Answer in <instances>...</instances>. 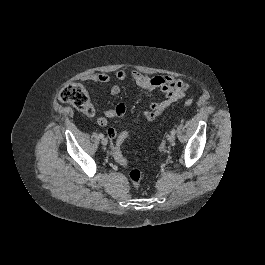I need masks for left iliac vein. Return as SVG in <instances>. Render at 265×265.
Masks as SVG:
<instances>
[{
	"label": "left iliac vein",
	"mask_w": 265,
	"mask_h": 265,
	"mask_svg": "<svg viewBox=\"0 0 265 265\" xmlns=\"http://www.w3.org/2000/svg\"><path fill=\"white\" fill-rule=\"evenodd\" d=\"M167 140L170 142V143H173L175 141V135L174 134H170L168 137H167Z\"/></svg>",
	"instance_id": "left-iliac-vein-1"
}]
</instances>
